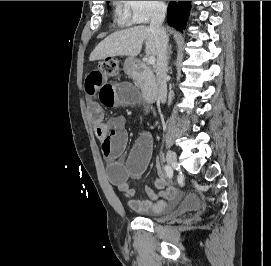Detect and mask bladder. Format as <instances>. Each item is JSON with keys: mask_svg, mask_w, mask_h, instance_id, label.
Instances as JSON below:
<instances>
[{"mask_svg": "<svg viewBox=\"0 0 271 266\" xmlns=\"http://www.w3.org/2000/svg\"><path fill=\"white\" fill-rule=\"evenodd\" d=\"M200 206H201V203H200V200L198 199V197L195 195H189L184 198V200L182 201V203L178 207L171 210L169 212V214H167L165 216L140 215V217L147 218V219H150V220L156 221V222H163V221L170 219L173 216H181L186 213L196 212L200 209Z\"/></svg>", "mask_w": 271, "mask_h": 266, "instance_id": "obj_1", "label": "bladder"}]
</instances>
